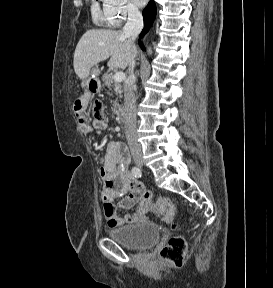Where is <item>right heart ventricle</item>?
Masks as SVG:
<instances>
[{
  "instance_id": "1",
  "label": "right heart ventricle",
  "mask_w": 273,
  "mask_h": 288,
  "mask_svg": "<svg viewBox=\"0 0 273 288\" xmlns=\"http://www.w3.org/2000/svg\"><path fill=\"white\" fill-rule=\"evenodd\" d=\"M92 16L94 21L98 24L101 25L110 24L105 9L101 8L100 5L95 0L92 5Z\"/></svg>"
}]
</instances>
